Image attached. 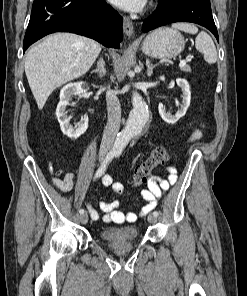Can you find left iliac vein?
<instances>
[{
  "instance_id": "left-iliac-vein-1",
  "label": "left iliac vein",
  "mask_w": 247,
  "mask_h": 296,
  "mask_svg": "<svg viewBox=\"0 0 247 296\" xmlns=\"http://www.w3.org/2000/svg\"><path fill=\"white\" fill-rule=\"evenodd\" d=\"M148 221L152 224L157 222V216L153 215V214H149L148 215Z\"/></svg>"
}]
</instances>
